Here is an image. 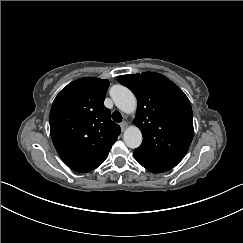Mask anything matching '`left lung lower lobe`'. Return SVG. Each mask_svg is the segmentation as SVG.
Segmentation results:
<instances>
[{"label":"left lung lower lobe","instance_id":"0a47b994","mask_svg":"<svg viewBox=\"0 0 243 243\" xmlns=\"http://www.w3.org/2000/svg\"><path fill=\"white\" fill-rule=\"evenodd\" d=\"M134 156L136 158V160L144 167L146 168L148 171L153 172V173H163L165 171L170 170V167H165V166H161V165H157L153 162H151L150 160L144 158L141 155H138L136 153H134Z\"/></svg>","mask_w":243,"mask_h":243}]
</instances>
